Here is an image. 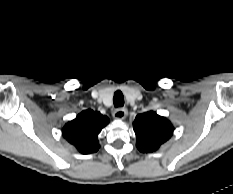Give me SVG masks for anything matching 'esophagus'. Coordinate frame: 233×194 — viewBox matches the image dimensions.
<instances>
[{
	"label": "esophagus",
	"mask_w": 233,
	"mask_h": 194,
	"mask_svg": "<svg viewBox=\"0 0 233 194\" xmlns=\"http://www.w3.org/2000/svg\"><path fill=\"white\" fill-rule=\"evenodd\" d=\"M127 116V109L125 108H117L113 112V117L116 119H124Z\"/></svg>",
	"instance_id": "esophagus-1"
}]
</instances>
